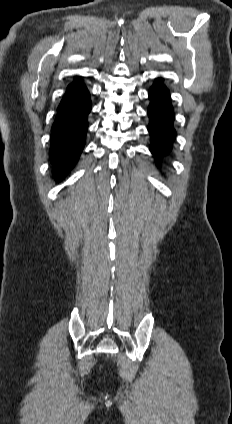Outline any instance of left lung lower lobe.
<instances>
[{
	"instance_id": "obj_1",
	"label": "left lung lower lobe",
	"mask_w": 232,
	"mask_h": 424,
	"mask_svg": "<svg viewBox=\"0 0 232 424\" xmlns=\"http://www.w3.org/2000/svg\"><path fill=\"white\" fill-rule=\"evenodd\" d=\"M151 103L148 108L151 135L150 150L154 156L161 159L171 150L176 132L172 127L174 120L173 108L168 89L158 79L149 91Z\"/></svg>"
}]
</instances>
